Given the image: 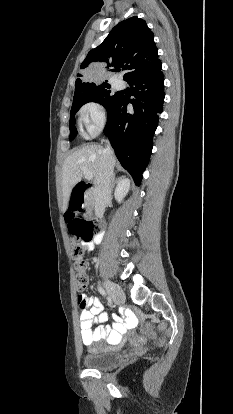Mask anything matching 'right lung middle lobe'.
<instances>
[{
    "label": "right lung middle lobe",
    "mask_w": 233,
    "mask_h": 414,
    "mask_svg": "<svg viewBox=\"0 0 233 414\" xmlns=\"http://www.w3.org/2000/svg\"><path fill=\"white\" fill-rule=\"evenodd\" d=\"M119 96L120 95L118 94H112L110 91V85L106 83L98 85L97 87L92 88L74 98L69 121L70 141L77 135V129L75 127V114L82 105L87 102L94 101L102 104L106 110H108L118 100Z\"/></svg>",
    "instance_id": "1"
}]
</instances>
